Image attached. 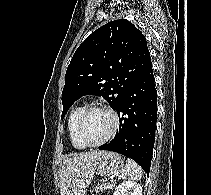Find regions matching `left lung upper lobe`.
Returning a JSON list of instances; mask_svg holds the SVG:
<instances>
[{
  "instance_id": "1",
  "label": "left lung upper lobe",
  "mask_w": 211,
  "mask_h": 195,
  "mask_svg": "<svg viewBox=\"0 0 211 195\" xmlns=\"http://www.w3.org/2000/svg\"><path fill=\"white\" fill-rule=\"evenodd\" d=\"M150 61L146 38L128 20H114L98 28L78 47L67 68L61 118L88 94L102 96L117 110Z\"/></svg>"
}]
</instances>
